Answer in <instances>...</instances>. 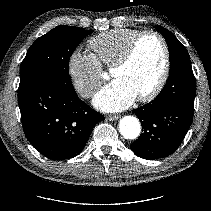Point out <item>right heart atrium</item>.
I'll return each mask as SVG.
<instances>
[{
    "label": "right heart atrium",
    "mask_w": 211,
    "mask_h": 211,
    "mask_svg": "<svg viewBox=\"0 0 211 211\" xmlns=\"http://www.w3.org/2000/svg\"><path fill=\"white\" fill-rule=\"evenodd\" d=\"M67 71L75 91L82 98L92 97L102 83V70L96 58L80 48L70 53Z\"/></svg>",
    "instance_id": "d8ad5b80"
}]
</instances>
